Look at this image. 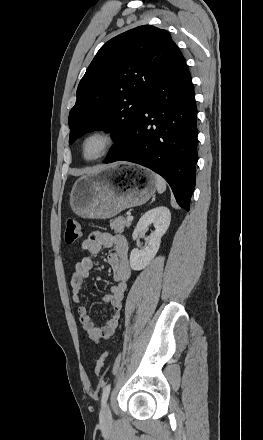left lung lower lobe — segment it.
Masks as SVG:
<instances>
[{
    "instance_id": "obj_1",
    "label": "left lung lower lobe",
    "mask_w": 263,
    "mask_h": 440,
    "mask_svg": "<svg viewBox=\"0 0 263 440\" xmlns=\"http://www.w3.org/2000/svg\"><path fill=\"white\" fill-rule=\"evenodd\" d=\"M196 103L191 75L177 45L137 115L130 145L104 163L129 161L161 175L189 211L197 161Z\"/></svg>"
}]
</instances>
